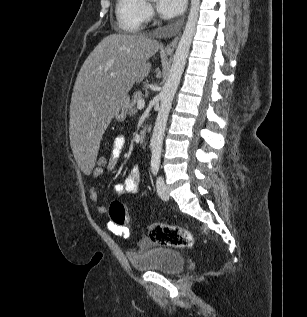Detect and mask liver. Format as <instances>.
<instances>
[{"instance_id": "obj_1", "label": "liver", "mask_w": 307, "mask_h": 317, "mask_svg": "<svg viewBox=\"0 0 307 317\" xmlns=\"http://www.w3.org/2000/svg\"><path fill=\"white\" fill-rule=\"evenodd\" d=\"M161 44L145 35L104 37L83 63L70 105V144L83 175H92L101 138L135 83L148 76Z\"/></svg>"}]
</instances>
